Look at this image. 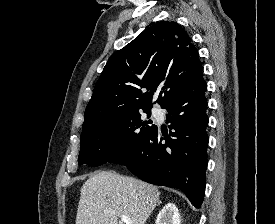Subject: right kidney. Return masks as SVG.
<instances>
[{"label": "right kidney", "mask_w": 275, "mask_h": 224, "mask_svg": "<svg viewBox=\"0 0 275 224\" xmlns=\"http://www.w3.org/2000/svg\"><path fill=\"white\" fill-rule=\"evenodd\" d=\"M178 208L173 203L166 204L156 218V224H180Z\"/></svg>", "instance_id": "right-kidney-1"}]
</instances>
